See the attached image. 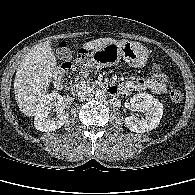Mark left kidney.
Returning <instances> with one entry per match:
<instances>
[{
  "mask_svg": "<svg viewBox=\"0 0 195 195\" xmlns=\"http://www.w3.org/2000/svg\"><path fill=\"white\" fill-rule=\"evenodd\" d=\"M134 111L145 113V118L138 119L131 115L124 122L127 128L136 133H144L155 129L163 115V105L148 93L134 95L130 99Z\"/></svg>",
  "mask_w": 195,
  "mask_h": 195,
  "instance_id": "5707ae66",
  "label": "left kidney"
}]
</instances>
